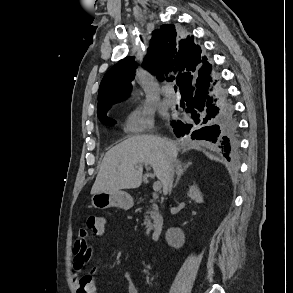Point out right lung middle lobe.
I'll return each mask as SVG.
<instances>
[{"label":"right lung middle lobe","mask_w":293,"mask_h":293,"mask_svg":"<svg viewBox=\"0 0 293 293\" xmlns=\"http://www.w3.org/2000/svg\"><path fill=\"white\" fill-rule=\"evenodd\" d=\"M100 119V121L105 124V125H113L116 123L115 120L108 118L106 115L103 116H99L98 117Z\"/></svg>","instance_id":"dd1d6c3e"}]
</instances>
